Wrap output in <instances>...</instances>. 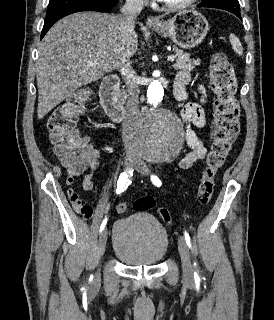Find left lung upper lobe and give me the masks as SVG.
Here are the masks:
<instances>
[{
  "instance_id": "obj_1",
  "label": "left lung upper lobe",
  "mask_w": 274,
  "mask_h": 320,
  "mask_svg": "<svg viewBox=\"0 0 274 320\" xmlns=\"http://www.w3.org/2000/svg\"><path fill=\"white\" fill-rule=\"evenodd\" d=\"M200 5L204 7L225 9L229 12H240L238 0H204Z\"/></svg>"
}]
</instances>
